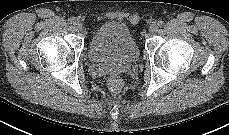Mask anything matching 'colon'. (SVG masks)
I'll return each mask as SVG.
<instances>
[{
  "label": "colon",
  "mask_w": 229,
  "mask_h": 135,
  "mask_svg": "<svg viewBox=\"0 0 229 135\" xmlns=\"http://www.w3.org/2000/svg\"><path fill=\"white\" fill-rule=\"evenodd\" d=\"M107 87L110 93L117 94L122 88V81L117 76H112L108 79Z\"/></svg>",
  "instance_id": "colon-1"
}]
</instances>
